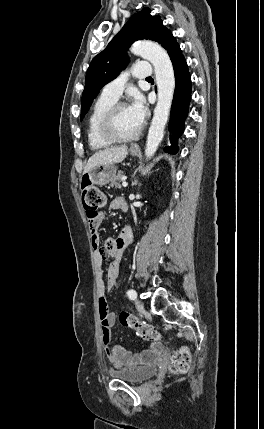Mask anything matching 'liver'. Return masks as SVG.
I'll return each instance as SVG.
<instances>
[{"label":"liver","mask_w":264,"mask_h":429,"mask_svg":"<svg viewBox=\"0 0 264 429\" xmlns=\"http://www.w3.org/2000/svg\"><path fill=\"white\" fill-rule=\"evenodd\" d=\"M127 154L126 145L100 150L89 158L83 173H88L98 165L120 163L126 158Z\"/></svg>","instance_id":"obj_1"}]
</instances>
